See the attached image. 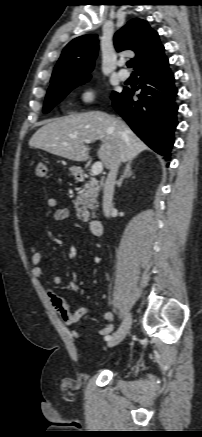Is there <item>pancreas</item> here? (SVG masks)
Segmentation results:
<instances>
[{"label":"pancreas","mask_w":202,"mask_h":437,"mask_svg":"<svg viewBox=\"0 0 202 437\" xmlns=\"http://www.w3.org/2000/svg\"><path fill=\"white\" fill-rule=\"evenodd\" d=\"M99 190L100 187L93 179L82 186L74 203L78 219L85 222L89 220L88 209L94 210L96 208Z\"/></svg>","instance_id":"obj_1"}]
</instances>
